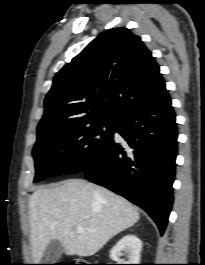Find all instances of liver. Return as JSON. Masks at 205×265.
<instances>
[{
  "instance_id": "obj_1",
  "label": "liver",
  "mask_w": 205,
  "mask_h": 265,
  "mask_svg": "<svg viewBox=\"0 0 205 265\" xmlns=\"http://www.w3.org/2000/svg\"><path fill=\"white\" fill-rule=\"evenodd\" d=\"M29 215L36 264L52 240H59L67 255L92 256L140 218L126 199L82 179L37 189L30 197Z\"/></svg>"
}]
</instances>
